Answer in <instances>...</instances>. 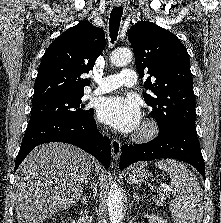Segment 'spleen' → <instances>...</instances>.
<instances>
[{"mask_svg": "<svg viewBox=\"0 0 221 223\" xmlns=\"http://www.w3.org/2000/svg\"><path fill=\"white\" fill-rule=\"evenodd\" d=\"M155 165L170 176L173 200L169 207L174 223H201L203 194L196 176L177 160L164 159Z\"/></svg>", "mask_w": 221, "mask_h": 223, "instance_id": "spleen-1", "label": "spleen"}]
</instances>
